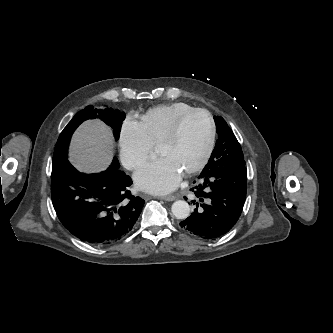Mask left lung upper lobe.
I'll return each instance as SVG.
<instances>
[{
  "instance_id": "left-lung-upper-lobe-1",
  "label": "left lung upper lobe",
  "mask_w": 333,
  "mask_h": 333,
  "mask_svg": "<svg viewBox=\"0 0 333 333\" xmlns=\"http://www.w3.org/2000/svg\"><path fill=\"white\" fill-rule=\"evenodd\" d=\"M214 120L218 140L203 171L210 172L217 168L227 170L245 166L241 146L231 128L222 117L214 116Z\"/></svg>"
}]
</instances>
